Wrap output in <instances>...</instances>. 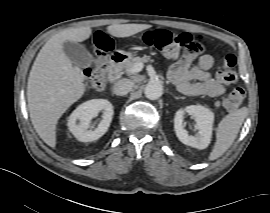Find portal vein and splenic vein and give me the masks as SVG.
Instances as JSON below:
<instances>
[{
  "label": "portal vein and splenic vein",
  "mask_w": 270,
  "mask_h": 213,
  "mask_svg": "<svg viewBox=\"0 0 270 213\" xmlns=\"http://www.w3.org/2000/svg\"><path fill=\"white\" fill-rule=\"evenodd\" d=\"M143 69V64L142 63H137L133 66V68L131 69V73H137L140 72Z\"/></svg>",
  "instance_id": "18ae733b"
}]
</instances>
